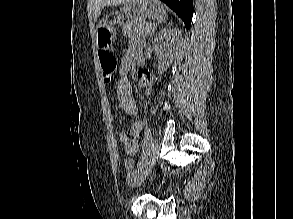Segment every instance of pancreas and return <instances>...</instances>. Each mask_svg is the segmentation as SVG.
<instances>
[{"mask_svg":"<svg viewBox=\"0 0 293 219\" xmlns=\"http://www.w3.org/2000/svg\"><path fill=\"white\" fill-rule=\"evenodd\" d=\"M156 24L140 20H128L123 26V34L128 37H145L152 35Z\"/></svg>","mask_w":293,"mask_h":219,"instance_id":"1","label":"pancreas"}]
</instances>
